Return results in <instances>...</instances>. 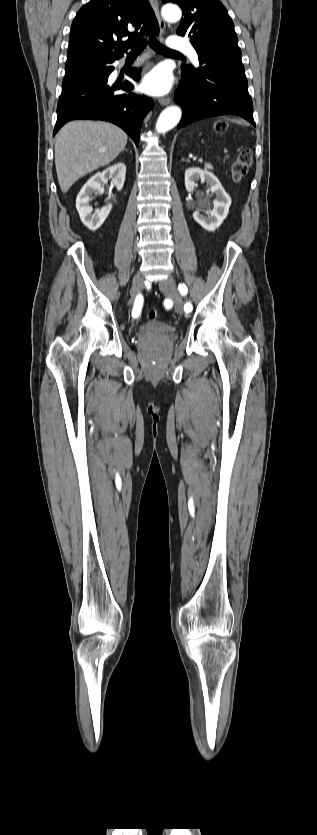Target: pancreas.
<instances>
[{"instance_id": "obj_1", "label": "pancreas", "mask_w": 317, "mask_h": 835, "mask_svg": "<svg viewBox=\"0 0 317 835\" xmlns=\"http://www.w3.org/2000/svg\"><path fill=\"white\" fill-rule=\"evenodd\" d=\"M205 168H206V169L213 170V166H212L211 164H209V163H205Z\"/></svg>"}]
</instances>
